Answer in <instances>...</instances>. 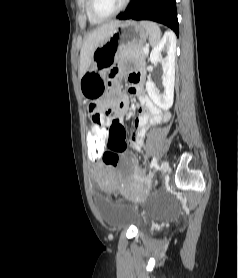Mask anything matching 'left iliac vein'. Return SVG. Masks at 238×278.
<instances>
[{
  "mask_svg": "<svg viewBox=\"0 0 238 278\" xmlns=\"http://www.w3.org/2000/svg\"><path fill=\"white\" fill-rule=\"evenodd\" d=\"M168 168H169V162L167 160H164L160 167L161 173L165 174L167 172Z\"/></svg>",
  "mask_w": 238,
  "mask_h": 278,
  "instance_id": "4c4485c4",
  "label": "left iliac vein"
}]
</instances>
